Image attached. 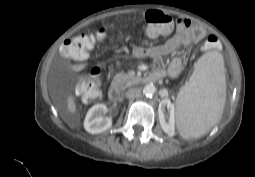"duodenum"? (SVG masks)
<instances>
[{
  "mask_svg": "<svg viewBox=\"0 0 255 177\" xmlns=\"http://www.w3.org/2000/svg\"><path fill=\"white\" fill-rule=\"evenodd\" d=\"M163 77L162 73L156 71L151 72L145 77H143L142 81L144 83H155L158 82ZM108 96L112 102H118L120 100V91L116 86H111L108 91Z\"/></svg>",
  "mask_w": 255,
  "mask_h": 177,
  "instance_id": "410a0bca",
  "label": "duodenum"
}]
</instances>
